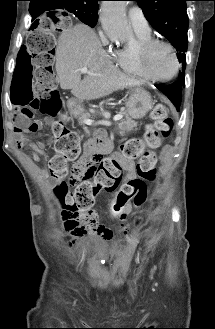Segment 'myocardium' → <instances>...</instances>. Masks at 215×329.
<instances>
[{"instance_id":"f54148a6","label":"myocardium","mask_w":215,"mask_h":329,"mask_svg":"<svg viewBox=\"0 0 215 329\" xmlns=\"http://www.w3.org/2000/svg\"><path fill=\"white\" fill-rule=\"evenodd\" d=\"M157 46L167 47L170 50V52L174 58V62H175L174 71L168 77H164V78L156 77L149 72V69H148L149 57H150V54L153 51V49ZM138 64H139V68H140L143 76L146 79H149V80L155 81V82H167V81L172 80L178 74L179 69H180V61H179L175 47L170 42L161 40V39H150L149 41L140 45L139 50H138Z\"/></svg>"}]
</instances>
